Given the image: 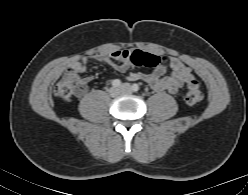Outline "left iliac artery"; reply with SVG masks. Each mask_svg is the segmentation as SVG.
<instances>
[{"label": "left iliac artery", "instance_id": "obj_1", "mask_svg": "<svg viewBox=\"0 0 248 195\" xmlns=\"http://www.w3.org/2000/svg\"><path fill=\"white\" fill-rule=\"evenodd\" d=\"M132 90H133L134 92H137V91L139 90V85L136 84V83H134V84L132 85Z\"/></svg>", "mask_w": 248, "mask_h": 195}]
</instances>
